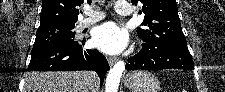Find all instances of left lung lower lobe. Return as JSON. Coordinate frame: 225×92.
<instances>
[{"label":"left lung lower lobe","instance_id":"1","mask_svg":"<svg viewBox=\"0 0 225 92\" xmlns=\"http://www.w3.org/2000/svg\"><path fill=\"white\" fill-rule=\"evenodd\" d=\"M142 46L143 49L137 55L128 59L126 69H194L187 46L154 45L146 42Z\"/></svg>","mask_w":225,"mask_h":92}]
</instances>
